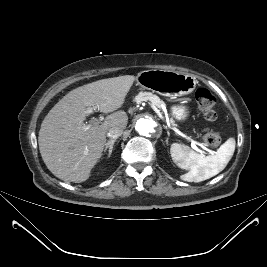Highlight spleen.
<instances>
[{
    "instance_id": "obj_1",
    "label": "spleen",
    "mask_w": 267,
    "mask_h": 267,
    "mask_svg": "<svg viewBox=\"0 0 267 267\" xmlns=\"http://www.w3.org/2000/svg\"><path fill=\"white\" fill-rule=\"evenodd\" d=\"M235 139L229 138L211 155L196 153L190 147L173 143L170 154L173 162L181 169L189 170L181 175L187 182H201L220 173L229 163L235 151Z\"/></svg>"
}]
</instances>
